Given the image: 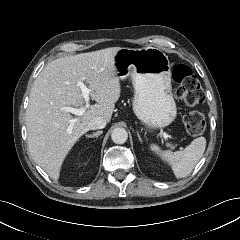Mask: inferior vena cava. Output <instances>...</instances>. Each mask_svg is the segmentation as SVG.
Wrapping results in <instances>:
<instances>
[{"instance_id":"602c4592","label":"inferior vena cava","mask_w":240,"mask_h":240,"mask_svg":"<svg viewBox=\"0 0 240 240\" xmlns=\"http://www.w3.org/2000/svg\"><path fill=\"white\" fill-rule=\"evenodd\" d=\"M106 126V120L100 116H97L91 119L88 122V129L96 130V129H103Z\"/></svg>"}]
</instances>
